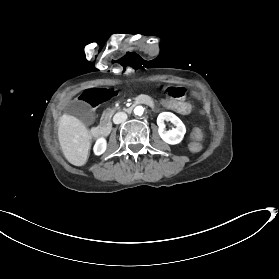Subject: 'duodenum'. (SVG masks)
Returning <instances> with one entry per match:
<instances>
[{
    "instance_id": "duodenum-1",
    "label": "duodenum",
    "mask_w": 279,
    "mask_h": 279,
    "mask_svg": "<svg viewBox=\"0 0 279 279\" xmlns=\"http://www.w3.org/2000/svg\"><path fill=\"white\" fill-rule=\"evenodd\" d=\"M141 102H145L149 106H152L154 104V101L150 97H146L144 94H141L134 101H131L128 107H124V110L128 112H133L135 110V106H138ZM105 126L106 127L104 128V130L92 127L90 129L91 137L93 139H103L104 137H107L110 134V131L112 130V121L110 119H107L105 121Z\"/></svg>"
}]
</instances>
